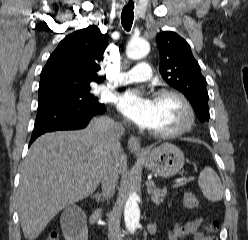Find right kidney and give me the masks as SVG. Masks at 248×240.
<instances>
[{"label": "right kidney", "instance_id": "ca27d5eb", "mask_svg": "<svg viewBox=\"0 0 248 240\" xmlns=\"http://www.w3.org/2000/svg\"><path fill=\"white\" fill-rule=\"evenodd\" d=\"M65 240H88V230L85 224L73 227H63Z\"/></svg>", "mask_w": 248, "mask_h": 240}]
</instances>
